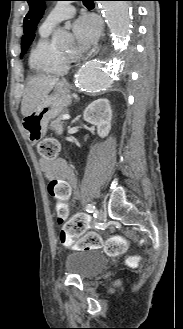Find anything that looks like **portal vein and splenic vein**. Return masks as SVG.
<instances>
[{
  "instance_id": "18ae733b",
  "label": "portal vein and splenic vein",
  "mask_w": 183,
  "mask_h": 329,
  "mask_svg": "<svg viewBox=\"0 0 183 329\" xmlns=\"http://www.w3.org/2000/svg\"><path fill=\"white\" fill-rule=\"evenodd\" d=\"M62 119H63V120H69V119H70V116H69L68 114L63 115V116H62Z\"/></svg>"
}]
</instances>
